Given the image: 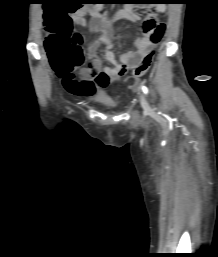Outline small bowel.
I'll list each match as a JSON object with an SVG mask.
<instances>
[{
    "label": "small bowel",
    "mask_w": 218,
    "mask_h": 257,
    "mask_svg": "<svg viewBox=\"0 0 218 257\" xmlns=\"http://www.w3.org/2000/svg\"><path fill=\"white\" fill-rule=\"evenodd\" d=\"M156 10L163 12L165 7L160 5ZM115 18L144 23L133 6L118 9ZM71 19L76 27L88 26L91 33L101 32V35L94 39L89 47V67L80 69L69 79L61 77L65 89L77 96L93 97L97 88H105L111 81L123 77L129 69L135 68L155 46L151 40V33L143 29L135 39L132 49L117 56L114 52L110 21L101 13L98 6H82L72 14ZM163 28H165L164 25ZM100 44L104 45L105 55L97 52Z\"/></svg>",
    "instance_id": "obj_1"
}]
</instances>
